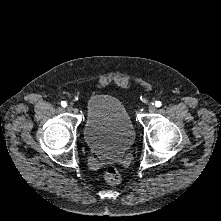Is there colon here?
Returning <instances> with one entry per match:
<instances>
[{
    "label": "colon",
    "instance_id": "1",
    "mask_svg": "<svg viewBox=\"0 0 221 221\" xmlns=\"http://www.w3.org/2000/svg\"><path fill=\"white\" fill-rule=\"evenodd\" d=\"M104 179L109 184H118L121 180V174L118 167L115 164H108L103 172Z\"/></svg>",
    "mask_w": 221,
    "mask_h": 221
}]
</instances>
